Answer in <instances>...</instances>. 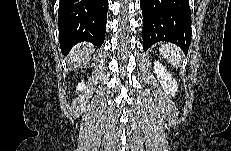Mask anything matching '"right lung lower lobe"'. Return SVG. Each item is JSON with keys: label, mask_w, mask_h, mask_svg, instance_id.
Wrapping results in <instances>:
<instances>
[{"label": "right lung lower lobe", "mask_w": 231, "mask_h": 151, "mask_svg": "<svg viewBox=\"0 0 231 151\" xmlns=\"http://www.w3.org/2000/svg\"><path fill=\"white\" fill-rule=\"evenodd\" d=\"M108 0H60L58 27L64 55L79 42L104 43Z\"/></svg>", "instance_id": "obj_1"}]
</instances>
